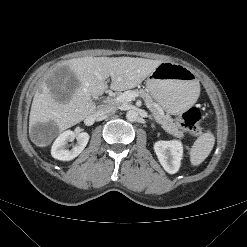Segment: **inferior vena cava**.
I'll return each instance as SVG.
<instances>
[{
    "label": "inferior vena cava",
    "instance_id": "602c4592",
    "mask_svg": "<svg viewBox=\"0 0 247 247\" xmlns=\"http://www.w3.org/2000/svg\"><path fill=\"white\" fill-rule=\"evenodd\" d=\"M116 108L112 105H100L97 107V110L94 112L95 117H104L108 114L114 113Z\"/></svg>",
    "mask_w": 247,
    "mask_h": 247
}]
</instances>
